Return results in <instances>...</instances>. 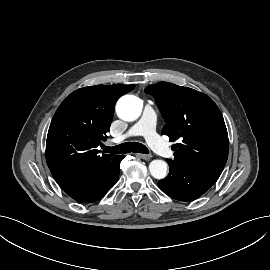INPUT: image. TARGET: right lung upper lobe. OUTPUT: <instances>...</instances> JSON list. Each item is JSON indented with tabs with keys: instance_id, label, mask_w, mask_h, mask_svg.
<instances>
[{
	"instance_id": "right-lung-upper-lobe-1",
	"label": "right lung upper lobe",
	"mask_w": 270,
	"mask_h": 270,
	"mask_svg": "<svg viewBox=\"0 0 270 270\" xmlns=\"http://www.w3.org/2000/svg\"><path fill=\"white\" fill-rule=\"evenodd\" d=\"M134 85H97L80 88L60 104L46 141V161L58 184L85 176L118 155H99L119 97Z\"/></svg>"
}]
</instances>
